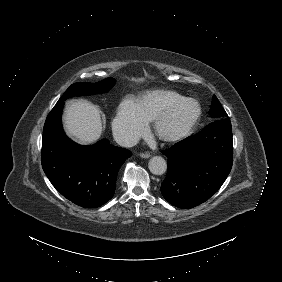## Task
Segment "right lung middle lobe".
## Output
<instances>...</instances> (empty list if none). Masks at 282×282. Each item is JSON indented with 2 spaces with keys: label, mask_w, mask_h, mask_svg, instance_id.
<instances>
[{
  "label": "right lung middle lobe",
  "mask_w": 282,
  "mask_h": 282,
  "mask_svg": "<svg viewBox=\"0 0 282 282\" xmlns=\"http://www.w3.org/2000/svg\"><path fill=\"white\" fill-rule=\"evenodd\" d=\"M114 84V78H106L97 83H75L66 90L58 102L65 101L73 96L104 93L109 91Z\"/></svg>",
  "instance_id": "1"
}]
</instances>
